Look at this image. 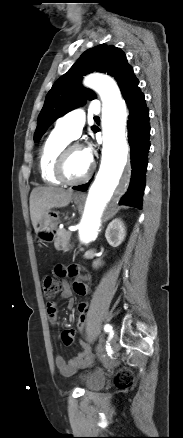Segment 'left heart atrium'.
<instances>
[{"label": "left heart atrium", "mask_w": 183, "mask_h": 438, "mask_svg": "<svg viewBox=\"0 0 183 438\" xmlns=\"http://www.w3.org/2000/svg\"><path fill=\"white\" fill-rule=\"evenodd\" d=\"M84 153H85L86 157L88 158V160L91 161V158H92L91 148H86L84 150Z\"/></svg>", "instance_id": "left-heart-atrium-1"}]
</instances>
